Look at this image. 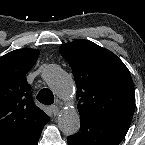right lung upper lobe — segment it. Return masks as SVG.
Listing matches in <instances>:
<instances>
[{
    "label": "right lung upper lobe",
    "instance_id": "right-lung-upper-lobe-1",
    "mask_svg": "<svg viewBox=\"0 0 145 145\" xmlns=\"http://www.w3.org/2000/svg\"><path fill=\"white\" fill-rule=\"evenodd\" d=\"M38 56L36 49H18L0 57V145H13L49 121L34 104L26 80Z\"/></svg>",
    "mask_w": 145,
    "mask_h": 145
}]
</instances>
